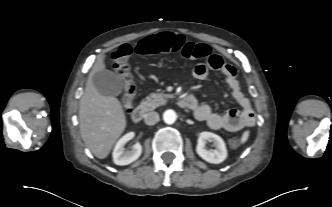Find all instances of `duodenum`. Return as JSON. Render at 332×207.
Returning <instances> with one entry per match:
<instances>
[{"mask_svg": "<svg viewBox=\"0 0 332 207\" xmlns=\"http://www.w3.org/2000/svg\"><path fill=\"white\" fill-rule=\"evenodd\" d=\"M196 98L193 95H185L179 100V105L182 108L190 109L195 104ZM146 113V106H139L132 111L131 118L133 122L140 123L143 121Z\"/></svg>", "mask_w": 332, "mask_h": 207, "instance_id": "1", "label": "duodenum"}]
</instances>
